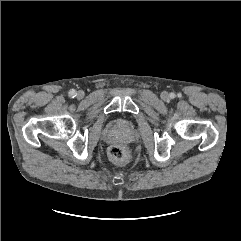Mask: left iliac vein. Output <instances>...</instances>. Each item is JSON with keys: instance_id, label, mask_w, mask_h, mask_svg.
Segmentation results:
<instances>
[{"instance_id": "1", "label": "left iliac vein", "mask_w": 241, "mask_h": 241, "mask_svg": "<svg viewBox=\"0 0 241 241\" xmlns=\"http://www.w3.org/2000/svg\"><path fill=\"white\" fill-rule=\"evenodd\" d=\"M163 100H166L168 98V93L167 92H163L161 95Z\"/></svg>"}]
</instances>
